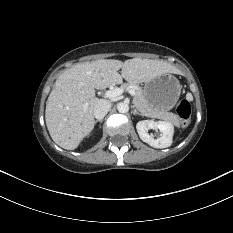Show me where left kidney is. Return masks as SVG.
Returning a JSON list of instances; mask_svg holds the SVG:
<instances>
[{"mask_svg": "<svg viewBox=\"0 0 233 233\" xmlns=\"http://www.w3.org/2000/svg\"><path fill=\"white\" fill-rule=\"evenodd\" d=\"M136 129L141 140L154 148H167L172 144V138L174 134V127L171 123L166 121H153L142 120L136 124ZM159 129L160 137L155 139L152 135H149V130Z\"/></svg>", "mask_w": 233, "mask_h": 233, "instance_id": "5707ae66", "label": "left kidney"}]
</instances>
